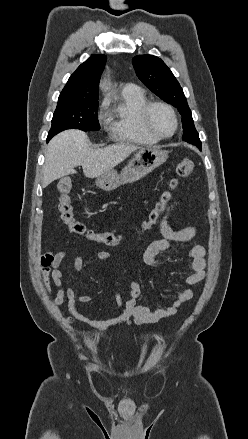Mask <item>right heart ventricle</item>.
<instances>
[{"instance_id": "1", "label": "right heart ventricle", "mask_w": 248, "mask_h": 439, "mask_svg": "<svg viewBox=\"0 0 248 439\" xmlns=\"http://www.w3.org/2000/svg\"><path fill=\"white\" fill-rule=\"evenodd\" d=\"M147 102L145 92L138 87L131 92H121L118 104L109 113V131L114 139L137 145L158 143L159 139L152 136L141 121V110Z\"/></svg>"}]
</instances>
